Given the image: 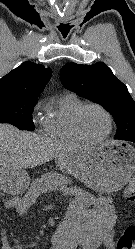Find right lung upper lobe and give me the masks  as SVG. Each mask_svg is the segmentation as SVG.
Segmentation results:
<instances>
[{"instance_id": "right-lung-upper-lobe-1", "label": "right lung upper lobe", "mask_w": 135, "mask_h": 249, "mask_svg": "<svg viewBox=\"0 0 135 249\" xmlns=\"http://www.w3.org/2000/svg\"><path fill=\"white\" fill-rule=\"evenodd\" d=\"M52 70L41 64L23 62L0 79V95L36 98L50 80Z\"/></svg>"}]
</instances>
